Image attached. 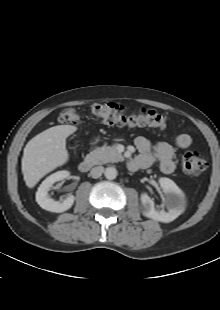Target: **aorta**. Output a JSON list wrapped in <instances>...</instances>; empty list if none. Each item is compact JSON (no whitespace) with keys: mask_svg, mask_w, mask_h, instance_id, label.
I'll return each mask as SVG.
<instances>
[{"mask_svg":"<svg viewBox=\"0 0 220 310\" xmlns=\"http://www.w3.org/2000/svg\"><path fill=\"white\" fill-rule=\"evenodd\" d=\"M117 170L116 168L114 167H108L106 168L105 170V177L108 179V180H113L117 177Z\"/></svg>","mask_w":220,"mask_h":310,"instance_id":"obj_1","label":"aorta"}]
</instances>
